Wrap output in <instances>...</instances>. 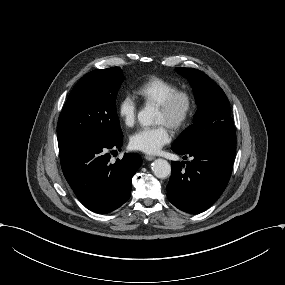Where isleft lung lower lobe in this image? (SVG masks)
Returning a JSON list of instances; mask_svg holds the SVG:
<instances>
[{
  "label": "left lung lower lobe",
  "instance_id": "1",
  "mask_svg": "<svg viewBox=\"0 0 285 285\" xmlns=\"http://www.w3.org/2000/svg\"><path fill=\"white\" fill-rule=\"evenodd\" d=\"M235 144V136H221L199 144L186 153L174 151L194 159L185 161L186 167L179 161L171 162L172 174L167 185L169 201L190 214L201 213L212 206L230 179Z\"/></svg>",
  "mask_w": 285,
  "mask_h": 285
}]
</instances>
